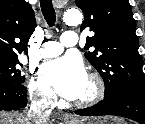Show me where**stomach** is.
<instances>
[{
	"instance_id": "obj_1",
	"label": "stomach",
	"mask_w": 145,
	"mask_h": 124,
	"mask_svg": "<svg viewBox=\"0 0 145 124\" xmlns=\"http://www.w3.org/2000/svg\"><path fill=\"white\" fill-rule=\"evenodd\" d=\"M69 124H122V121L114 117H103L93 120L84 118L71 121Z\"/></svg>"
}]
</instances>
